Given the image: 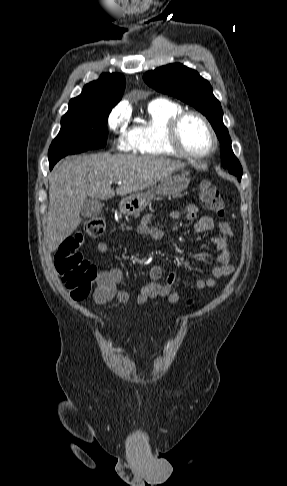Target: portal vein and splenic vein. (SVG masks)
<instances>
[{
  "label": "portal vein and splenic vein",
  "instance_id": "portal-vein-and-splenic-vein-1",
  "mask_svg": "<svg viewBox=\"0 0 287 486\" xmlns=\"http://www.w3.org/2000/svg\"><path fill=\"white\" fill-rule=\"evenodd\" d=\"M118 184H121V181H117Z\"/></svg>",
  "mask_w": 287,
  "mask_h": 486
}]
</instances>
